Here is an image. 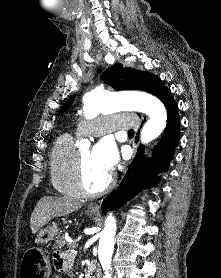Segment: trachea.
Here are the masks:
<instances>
[{"label":"trachea","mask_w":221,"mask_h":278,"mask_svg":"<svg viewBox=\"0 0 221 278\" xmlns=\"http://www.w3.org/2000/svg\"><path fill=\"white\" fill-rule=\"evenodd\" d=\"M128 133L129 134H134V130L131 129V130L128 131Z\"/></svg>","instance_id":"obj_1"}]
</instances>
